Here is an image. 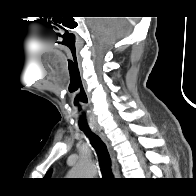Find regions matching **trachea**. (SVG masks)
Returning <instances> with one entry per match:
<instances>
[{
  "mask_svg": "<svg viewBox=\"0 0 196 196\" xmlns=\"http://www.w3.org/2000/svg\"><path fill=\"white\" fill-rule=\"evenodd\" d=\"M80 129L90 139V143L97 153L102 175L106 179H113V173L111 170V159L105 143L101 140L100 137L95 135L88 127H81Z\"/></svg>",
  "mask_w": 196,
  "mask_h": 196,
  "instance_id": "1",
  "label": "trachea"
}]
</instances>
